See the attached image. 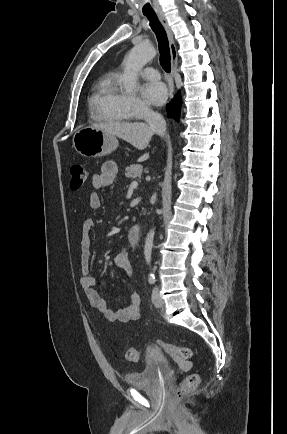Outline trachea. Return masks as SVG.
I'll return each instance as SVG.
<instances>
[{
	"mask_svg": "<svg viewBox=\"0 0 287 434\" xmlns=\"http://www.w3.org/2000/svg\"><path fill=\"white\" fill-rule=\"evenodd\" d=\"M145 16L148 18L150 27L156 34L158 40L160 64L163 69L169 73L171 71V54L166 31L155 13L145 14Z\"/></svg>",
	"mask_w": 287,
	"mask_h": 434,
	"instance_id": "3493384b",
	"label": "trachea"
}]
</instances>
